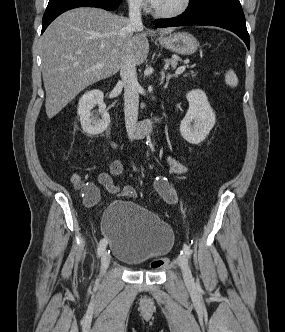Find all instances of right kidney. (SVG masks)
Returning a JSON list of instances; mask_svg holds the SVG:
<instances>
[{
  "instance_id": "1",
  "label": "right kidney",
  "mask_w": 285,
  "mask_h": 332,
  "mask_svg": "<svg viewBox=\"0 0 285 332\" xmlns=\"http://www.w3.org/2000/svg\"><path fill=\"white\" fill-rule=\"evenodd\" d=\"M103 98V92L95 89L86 92L79 100L78 115L80 123L83 131L89 135L103 133L110 123V116ZM95 105H98L99 113L92 112ZM99 114L101 118H99Z\"/></svg>"
}]
</instances>
